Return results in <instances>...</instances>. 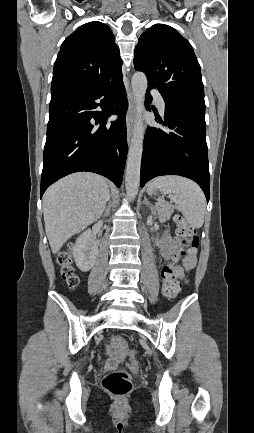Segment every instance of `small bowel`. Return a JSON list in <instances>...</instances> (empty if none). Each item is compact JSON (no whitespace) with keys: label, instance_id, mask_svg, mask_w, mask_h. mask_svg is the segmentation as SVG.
Listing matches in <instances>:
<instances>
[{"label":"small bowel","instance_id":"obj_1","mask_svg":"<svg viewBox=\"0 0 254 433\" xmlns=\"http://www.w3.org/2000/svg\"><path fill=\"white\" fill-rule=\"evenodd\" d=\"M180 246L178 240L172 237L169 232H165L164 234V244L162 246L161 252L166 261V266L171 267L176 277L180 280L186 281L185 273L192 270L196 264V251L194 249L190 250L189 255L184 259L183 267L175 266L172 263V260L178 257ZM164 290V284H163ZM114 359H110L109 364H112Z\"/></svg>","mask_w":254,"mask_h":433}]
</instances>
